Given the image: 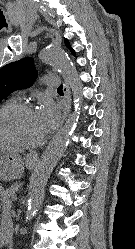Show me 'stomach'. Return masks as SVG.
I'll list each match as a JSON object with an SVG mask.
<instances>
[{
  "mask_svg": "<svg viewBox=\"0 0 135 249\" xmlns=\"http://www.w3.org/2000/svg\"><path fill=\"white\" fill-rule=\"evenodd\" d=\"M35 160L31 156H27L24 160L19 154L8 149H0V180H14L18 178L26 165L32 168Z\"/></svg>",
  "mask_w": 135,
  "mask_h": 249,
  "instance_id": "0dacf381",
  "label": "stomach"
}]
</instances>
